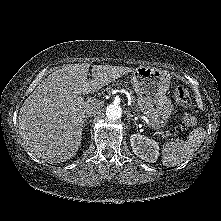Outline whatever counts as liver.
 Returning a JSON list of instances; mask_svg holds the SVG:
<instances>
[{
	"instance_id": "liver-1",
	"label": "liver",
	"mask_w": 221,
	"mask_h": 221,
	"mask_svg": "<svg viewBox=\"0 0 221 221\" xmlns=\"http://www.w3.org/2000/svg\"><path fill=\"white\" fill-rule=\"evenodd\" d=\"M69 64L44 79L24 101L19 113V134L26 148L37 158L64 162L72 158L81 145L85 110L101 104L81 95L94 93L132 68Z\"/></svg>"
}]
</instances>
